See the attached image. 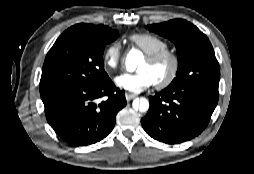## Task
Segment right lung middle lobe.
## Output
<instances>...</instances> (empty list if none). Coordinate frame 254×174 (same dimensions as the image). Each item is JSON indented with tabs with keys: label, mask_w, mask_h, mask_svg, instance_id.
Wrapping results in <instances>:
<instances>
[{
	"label": "right lung middle lobe",
	"mask_w": 254,
	"mask_h": 174,
	"mask_svg": "<svg viewBox=\"0 0 254 174\" xmlns=\"http://www.w3.org/2000/svg\"><path fill=\"white\" fill-rule=\"evenodd\" d=\"M118 32H103L70 27L48 52L40 80V94L69 87L96 86L109 77L104 70L105 45L114 41Z\"/></svg>",
	"instance_id": "1"
}]
</instances>
